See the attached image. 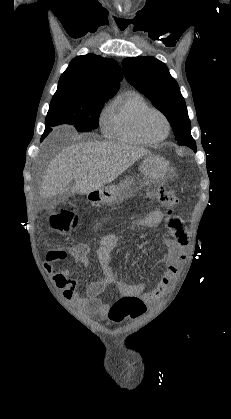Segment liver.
<instances>
[{"mask_svg": "<svg viewBox=\"0 0 231 419\" xmlns=\"http://www.w3.org/2000/svg\"><path fill=\"white\" fill-rule=\"evenodd\" d=\"M150 152L142 147L114 142L73 144L48 165L41 183L40 195L51 198L68 189L89 194L111 183L131 165Z\"/></svg>", "mask_w": 231, "mask_h": 419, "instance_id": "6515ba94", "label": "liver"}]
</instances>
